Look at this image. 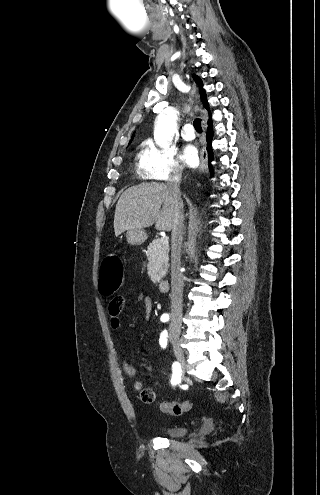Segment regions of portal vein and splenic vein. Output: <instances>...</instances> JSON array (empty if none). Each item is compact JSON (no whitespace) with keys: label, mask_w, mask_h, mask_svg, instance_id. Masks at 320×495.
<instances>
[{"label":"portal vein and splenic vein","mask_w":320,"mask_h":495,"mask_svg":"<svg viewBox=\"0 0 320 495\" xmlns=\"http://www.w3.org/2000/svg\"><path fill=\"white\" fill-rule=\"evenodd\" d=\"M161 242L163 245L168 246L169 245V238L167 236H165L161 239Z\"/></svg>","instance_id":"18ae733b"}]
</instances>
